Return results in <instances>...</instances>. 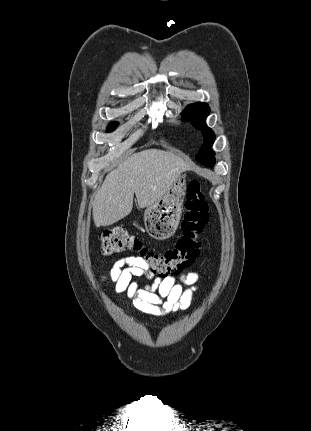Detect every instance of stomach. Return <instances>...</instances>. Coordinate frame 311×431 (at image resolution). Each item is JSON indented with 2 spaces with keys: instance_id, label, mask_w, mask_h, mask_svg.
<instances>
[{
  "instance_id": "stomach-1",
  "label": "stomach",
  "mask_w": 311,
  "mask_h": 431,
  "mask_svg": "<svg viewBox=\"0 0 311 431\" xmlns=\"http://www.w3.org/2000/svg\"><path fill=\"white\" fill-rule=\"evenodd\" d=\"M185 194L186 178L181 174L161 200L146 208L143 221L150 237L168 239L175 233L183 214Z\"/></svg>"
}]
</instances>
